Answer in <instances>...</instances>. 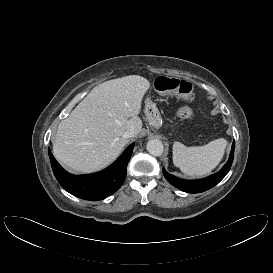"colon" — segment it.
<instances>
[{
  "label": "colon",
  "instance_id": "colon-1",
  "mask_svg": "<svg viewBox=\"0 0 273 273\" xmlns=\"http://www.w3.org/2000/svg\"><path fill=\"white\" fill-rule=\"evenodd\" d=\"M156 88L166 95L180 98L184 101L191 102L194 99L193 86L185 80L159 77L156 80ZM179 117L190 119L193 117V112L188 106H182L178 109Z\"/></svg>",
  "mask_w": 273,
  "mask_h": 273
}]
</instances>
